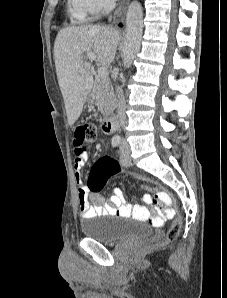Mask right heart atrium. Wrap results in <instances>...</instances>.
<instances>
[{
    "mask_svg": "<svg viewBox=\"0 0 227 298\" xmlns=\"http://www.w3.org/2000/svg\"><path fill=\"white\" fill-rule=\"evenodd\" d=\"M74 5L88 16H96L113 5V0H71Z\"/></svg>",
    "mask_w": 227,
    "mask_h": 298,
    "instance_id": "1",
    "label": "right heart atrium"
}]
</instances>
